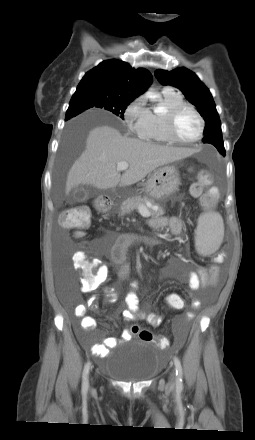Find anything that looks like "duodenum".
<instances>
[{
    "instance_id": "410a0bca",
    "label": "duodenum",
    "mask_w": 255,
    "mask_h": 440,
    "mask_svg": "<svg viewBox=\"0 0 255 440\" xmlns=\"http://www.w3.org/2000/svg\"><path fill=\"white\" fill-rule=\"evenodd\" d=\"M97 208L102 212L109 211V203L106 199H99L96 204Z\"/></svg>"
}]
</instances>
